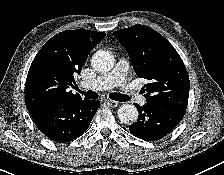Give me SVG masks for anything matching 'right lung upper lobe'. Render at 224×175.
<instances>
[{"label":"right lung upper lobe","instance_id":"1","mask_svg":"<svg viewBox=\"0 0 224 175\" xmlns=\"http://www.w3.org/2000/svg\"><path fill=\"white\" fill-rule=\"evenodd\" d=\"M105 36V33L90 30H66L47 41L34 58L27 75V110L81 99L69 87L75 83L74 74L80 73L92 48Z\"/></svg>","mask_w":224,"mask_h":175}]
</instances>
